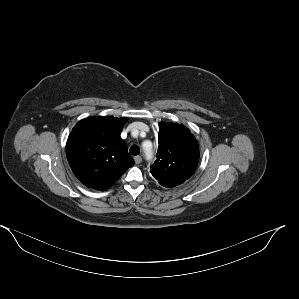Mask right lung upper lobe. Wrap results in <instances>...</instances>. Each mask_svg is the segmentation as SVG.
Wrapping results in <instances>:
<instances>
[{
    "instance_id": "obj_1",
    "label": "right lung upper lobe",
    "mask_w": 299,
    "mask_h": 299,
    "mask_svg": "<svg viewBox=\"0 0 299 299\" xmlns=\"http://www.w3.org/2000/svg\"><path fill=\"white\" fill-rule=\"evenodd\" d=\"M126 118L89 117L72 129L66 156L75 176L87 187L104 191L134 165L120 133Z\"/></svg>"
}]
</instances>
